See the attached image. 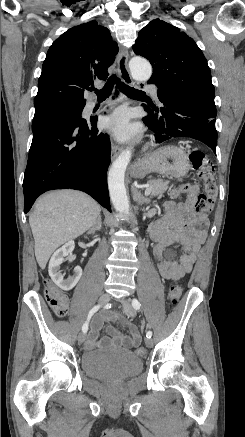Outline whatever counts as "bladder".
<instances>
[{"instance_id":"bladder-1","label":"bladder","mask_w":245,"mask_h":437,"mask_svg":"<svg viewBox=\"0 0 245 437\" xmlns=\"http://www.w3.org/2000/svg\"><path fill=\"white\" fill-rule=\"evenodd\" d=\"M83 371L100 380H125L142 369L141 359L129 350L96 349L83 353Z\"/></svg>"}]
</instances>
